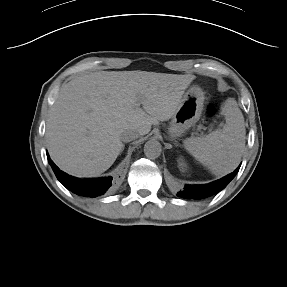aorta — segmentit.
<instances>
[{"mask_svg": "<svg viewBox=\"0 0 287 287\" xmlns=\"http://www.w3.org/2000/svg\"><path fill=\"white\" fill-rule=\"evenodd\" d=\"M162 148L158 141H148L144 146V154L147 158L156 159L161 155Z\"/></svg>", "mask_w": 287, "mask_h": 287, "instance_id": "aorta-1", "label": "aorta"}]
</instances>
